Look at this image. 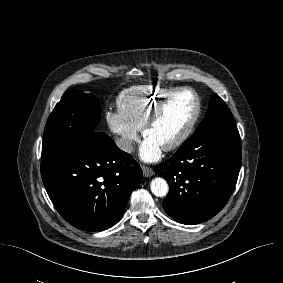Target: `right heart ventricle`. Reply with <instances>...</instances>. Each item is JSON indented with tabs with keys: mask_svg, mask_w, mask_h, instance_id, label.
I'll return each mask as SVG.
<instances>
[{
	"mask_svg": "<svg viewBox=\"0 0 283 283\" xmlns=\"http://www.w3.org/2000/svg\"><path fill=\"white\" fill-rule=\"evenodd\" d=\"M172 90L152 85L132 87L118 98V110L131 125L141 129L155 104Z\"/></svg>",
	"mask_w": 283,
	"mask_h": 283,
	"instance_id": "right-heart-ventricle-1",
	"label": "right heart ventricle"
}]
</instances>
